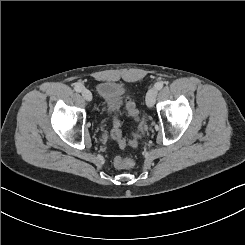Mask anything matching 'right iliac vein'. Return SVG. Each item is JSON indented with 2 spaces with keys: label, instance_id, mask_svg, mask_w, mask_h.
<instances>
[{
  "label": "right iliac vein",
  "instance_id": "obj_1",
  "mask_svg": "<svg viewBox=\"0 0 245 245\" xmlns=\"http://www.w3.org/2000/svg\"><path fill=\"white\" fill-rule=\"evenodd\" d=\"M82 96L86 101L90 102L92 100V93L87 89L82 90Z\"/></svg>",
  "mask_w": 245,
  "mask_h": 245
}]
</instances>
